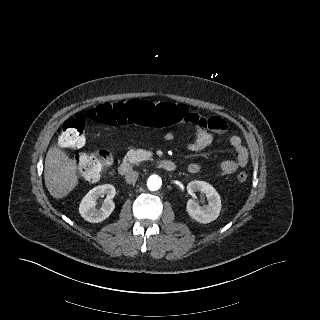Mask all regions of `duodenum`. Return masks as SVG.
Here are the masks:
<instances>
[{"label":"duodenum","mask_w":320,"mask_h":320,"mask_svg":"<svg viewBox=\"0 0 320 320\" xmlns=\"http://www.w3.org/2000/svg\"><path fill=\"white\" fill-rule=\"evenodd\" d=\"M157 166L166 172H173L176 169V164L167 159L159 160L157 162ZM132 168V163L125 160L119 165L118 171L120 175H126L132 170Z\"/></svg>","instance_id":"obj_1"}]
</instances>
